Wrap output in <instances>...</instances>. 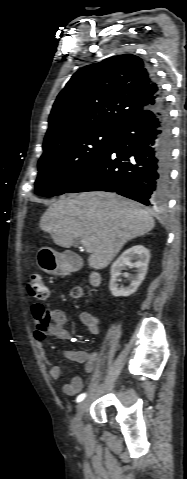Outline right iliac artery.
<instances>
[{"mask_svg":"<svg viewBox=\"0 0 187 479\" xmlns=\"http://www.w3.org/2000/svg\"><path fill=\"white\" fill-rule=\"evenodd\" d=\"M85 397H86V394H85V393L80 394V395L77 397L76 401H77V402H81L82 400H84Z\"/></svg>","mask_w":187,"mask_h":479,"instance_id":"obj_1","label":"right iliac artery"}]
</instances>
